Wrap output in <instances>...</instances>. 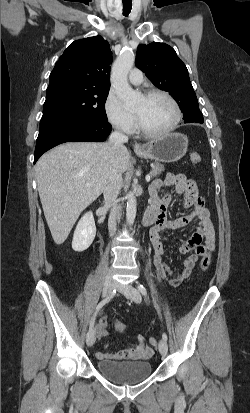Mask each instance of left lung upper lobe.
<instances>
[{"instance_id": "5c2ea615", "label": "left lung upper lobe", "mask_w": 250, "mask_h": 413, "mask_svg": "<svg viewBox=\"0 0 250 413\" xmlns=\"http://www.w3.org/2000/svg\"><path fill=\"white\" fill-rule=\"evenodd\" d=\"M135 64L156 87L174 97L184 115H202L188 70L172 47L158 42L141 44Z\"/></svg>"}]
</instances>
